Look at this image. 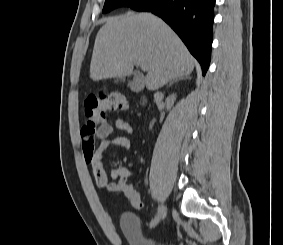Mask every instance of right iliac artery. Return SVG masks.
<instances>
[{"instance_id":"right-iliac-artery-1","label":"right iliac artery","mask_w":283,"mask_h":245,"mask_svg":"<svg viewBox=\"0 0 283 245\" xmlns=\"http://www.w3.org/2000/svg\"><path fill=\"white\" fill-rule=\"evenodd\" d=\"M154 196V195H153ZM155 218L151 221L150 225L153 226Z\"/></svg>"}]
</instances>
